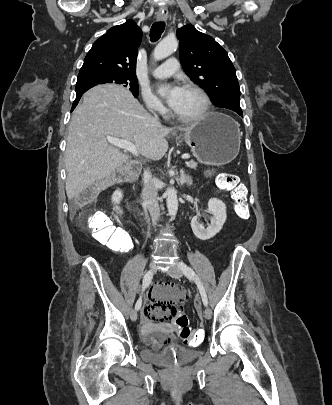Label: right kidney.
I'll list each match as a JSON object with an SVG mask.
<instances>
[{
	"mask_svg": "<svg viewBox=\"0 0 332 405\" xmlns=\"http://www.w3.org/2000/svg\"><path fill=\"white\" fill-rule=\"evenodd\" d=\"M123 198V194L120 190H116L113 195H112V203H113V210L116 211L118 215H122L123 211L121 208L118 206Z\"/></svg>",
	"mask_w": 332,
	"mask_h": 405,
	"instance_id": "obj_1",
	"label": "right kidney"
}]
</instances>
